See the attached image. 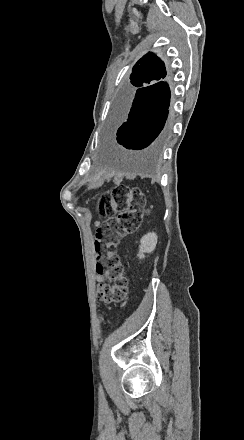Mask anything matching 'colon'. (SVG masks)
Returning a JSON list of instances; mask_svg holds the SVG:
<instances>
[{
    "instance_id": "colon-1",
    "label": "colon",
    "mask_w": 244,
    "mask_h": 440,
    "mask_svg": "<svg viewBox=\"0 0 244 440\" xmlns=\"http://www.w3.org/2000/svg\"><path fill=\"white\" fill-rule=\"evenodd\" d=\"M98 212L106 221L98 226L94 240L96 269L112 284L97 287L96 297L101 302L122 304L128 296L129 278L117 249L122 237L140 228L144 197L137 188L128 193L115 188L100 195Z\"/></svg>"
}]
</instances>
